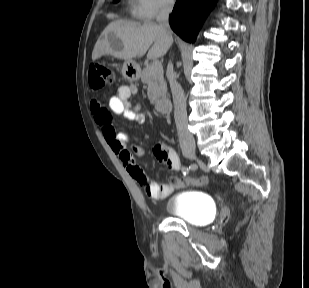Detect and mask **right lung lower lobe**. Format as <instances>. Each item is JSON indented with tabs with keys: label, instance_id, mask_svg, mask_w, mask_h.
Segmentation results:
<instances>
[{
	"label": "right lung lower lobe",
	"instance_id": "right-lung-lower-lobe-1",
	"mask_svg": "<svg viewBox=\"0 0 309 288\" xmlns=\"http://www.w3.org/2000/svg\"><path fill=\"white\" fill-rule=\"evenodd\" d=\"M215 3L216 0H177L170 17L171 28L185 41L194 42Z\"/></svg>",
	"mask_w": 309,
	"mask_h": 288
}]
</instances>
